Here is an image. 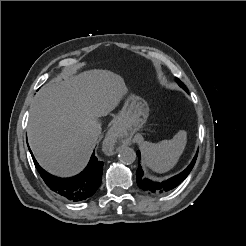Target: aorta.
<instances>
[{
	"mask_svg": "<svg viewBox=\"0 0 246 246\" xmlns=\"http://www.w3.org/2000/svg\"><path fill=\"white\" fill-rule=\"evenodd\" d=\"M118 157L122 163L132 164L136 160V153L132 148L124 146L120 148Z\"/></svg>",
	"mask_w": 246,
	"mask_h": 246,
	"instance_id": "1",
	"label": "aorta"
}]
</instances>
